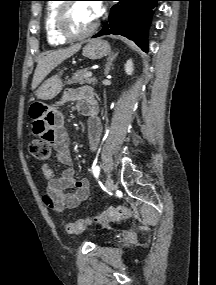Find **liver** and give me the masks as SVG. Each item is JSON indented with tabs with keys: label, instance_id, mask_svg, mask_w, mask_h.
Instances as JSON below:
<instances>
[{
	"label": "liver",
	"instance_id": "liver-1",
	"mask_svg": "<svg viewBox=\"0 0 216 285\" xmlns=\"http://www.w3.org/2000/svg\"><path fill=\"white\" fill-rule=\"evenodd\" d=\"M81 44L70 46L66 49L53 51L42 56L37 64L32 80V90H34L44 78L65 59L71 57L79 51Z\"/></svg>",
	"mask_w": 216,
	"mask_h": 285
}]
</instances>
